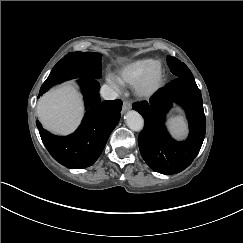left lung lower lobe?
I'll return each mask as SVG.
<instances>
[{
  "instance_id": "obj_1",
  "label": "left lung lower lobe",
  "mask_w": 243,
  "mask_h": 243,
  "mask_svg": "<svg viewBox=\"0 0 243 243\" xmlns=\"http://www.w3.org/2000/svg\"><path fill=\"white\" fill-rule=\"evenodd\" d=\"M173 102L185 109L189 121L190 133L183 142L172 139L164 125ZM132 106L145 120L138 144L146 164L162 174H176L187 168L197 156L206 131L202 96L195 80L176 78L159 89L149 102Z\"/></svg>"
}]
</instances>
